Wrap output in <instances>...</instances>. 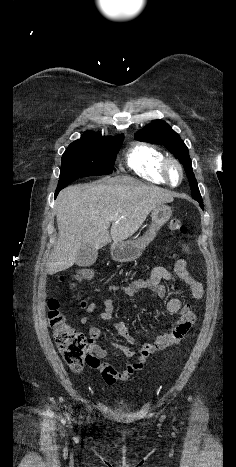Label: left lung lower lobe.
I'll return each instance as SVG.
<instances>
[{
	"mask_svg": "<svg viewBox=\"0 0 236 467\" xmlns=\"http://www.w3.org/2000/svg\"><path fill=\"white\" fill-rule=\"evenodd\" d=\"M195 200L199 202V204L201 205V208L203 209V201H202V199H195Z\"/></svg>",
	"mask_w": 236,
	"mask_h": 467,
	"instance_id": "obj_1",
	"label": "left lung lower lobe"
}]
</instances>
